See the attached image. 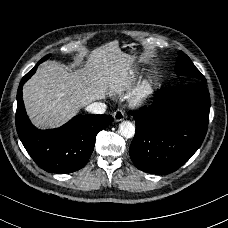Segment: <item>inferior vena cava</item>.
Segmentation results:
<instances>
[{
  "instance_id": "inferior-vena-cava-1",
  "label": "inferior vena cava",
  "mask_w": 228,
  "mask_h": 228,
  "mask_svg": "<svg viewBox=\"0 0 228 228\" xmlns=\"http://www.w3.org/2000/svg\"><path fill=\"white\" fill-rule=\"evenodd\" d=\"M86 111L92 114H104L106 111V105L101 102H94L86 107Z\"/></svg>"
}]
</instances>
